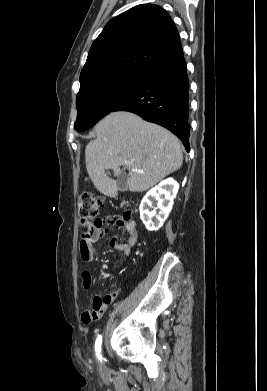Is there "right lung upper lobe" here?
<instances>
[{"instance_id":"1","label":"right lung upper lobe","mask_w":267,"mask_h":391,"mask_svg":"<svg viewBox=\"0 0 267 391\" xmlns=\"http://www.w3.org/2000/svg\"><path fill=\"white\" fill-rule=\"evenodd\" d=\"M182 54L179 33L169 14L157 5H138L106 24L91 46L80 84L111 72L148 74Z\"/></svg>"}]
</instances>
